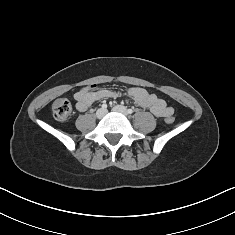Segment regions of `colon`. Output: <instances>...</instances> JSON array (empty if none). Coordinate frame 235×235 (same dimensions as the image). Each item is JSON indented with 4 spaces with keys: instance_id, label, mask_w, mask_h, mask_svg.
I'll list each match as a JSON object with an SVG mask.
<instances>
[{
    "instance_id": "obj_1",
    "label": "colon",
    "mask_w": 235,
    "mask_h": 235,
    "mask_svg": "<svg viewBox=\"0 0 235 235\" xmlns=\"http://www.w3.org/2000/svg\"><path fill=\"white\" fill-rule=\"evenodd\" d=\"M95 85H91L89 88L93 89ZM52 112L55 119L59 121H64L69 118L72 113V105L70 101L66 98H58L52 105ZM168 124L174 122V117L172 115L166 118Z\"/></svg>"
}]
</instances>
